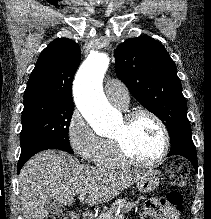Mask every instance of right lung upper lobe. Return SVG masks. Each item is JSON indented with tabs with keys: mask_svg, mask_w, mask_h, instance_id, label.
Here are the masks:
<instances>
[{
	"mask_svg": "<svg viewBox=\"0 0 211 219\" xmlns=\"http://www.w3.org/2000/svg\"><path fill=\"white\" fill-rule=\"evenodd\" d=\"M80 60L76 42L68 38L52 41L41 52L30 75L24 102L45 99L73 104L71 85Z\"/></svg>",
	"mask_w": 211,
	"mask_h": 219,
	"instance_id": "obj_1",
	"label": "right lung upper lobe"
}]
</instances>
